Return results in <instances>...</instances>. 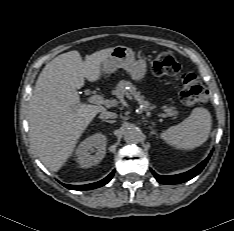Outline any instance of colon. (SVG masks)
I'll return each mask as SVG.
<instances>
[{"instance_id":"1","label":"colon","mask_w":234,"mask_h":231,"mask_svg":"<svg viewBox=\"0 0 234 231\" xmlns=\"http://www.w3.org/2000/svg\"><path fill=\"white\" fill-rule=\"evenodd\" d=\"M152 69L156 75H177L180 64L170 51H161L152 62ZM181 102L186 106L203 105L208 101V91L194 73L182 75V89L180 92Z\"/></svg>"}]
</instances>
